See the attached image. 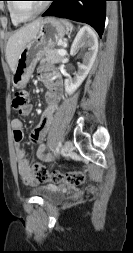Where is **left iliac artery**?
Masks as SVG:
<instances>
[{"instance_id":"44dca946","label":"left iliac artery","mask_w":133,"mask_h":253,"mask_svg":"<svg viewBox=\"0 0 133 253\" xmlns=\"http://www.w3.org/2000/svg\"><path fill=\"white\" fill-rule=\"evenodd\" d=\"M60 148H61V143H59L58 146L56 147V152H57V153H59Z\"/></svg>"}]
</instances>
